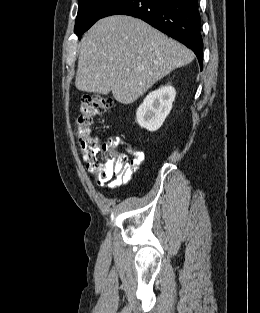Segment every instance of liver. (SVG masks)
Wrapping results in <instances>:
<instances>
[{
	"instance_id": "liver-1",
	"label": "liver",
	"mask_w": 260,
	"mask_h": 313,
	"mask_svg": "<svg viewBox=\"0 0 260 313\" xmlns=\"http://www.w3.org/2000/svg\"><path fill=\"white\" fill-rule=\"evenodd\" d=\"M194 53L144 21L126 15L100 19L80 43L76 87L131 104L156 81L191 63Z\"/></svg>"
}]
</instances>
